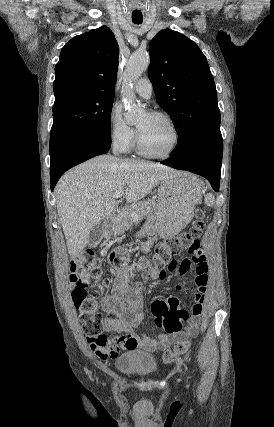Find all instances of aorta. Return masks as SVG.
Instances as JSON below:
<instances>
[{"label": "aorta", "mask_w": 274, "mask_h": 427, "mask_svg": "<svg viewBox=\"0 0 274 427\" xmlns=\"http://www.w3.org/2000/svg\"><path fill=\"white\" fill-rule=\"evenodd\" d=\"M150 64V57L148 52H135L133 53L127 63L126 69L122 75V90L121 96L122 100L128 107V112L125 117L128 122H134L144 110L134 104V92L133 84L138 80L144 71L148 68Z\"/></svg>", "instance_id": "aorta-1"}]
</instances>
